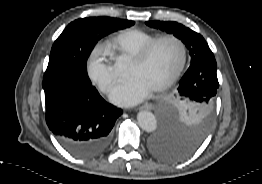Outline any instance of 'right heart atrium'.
I'll return each instance as SVG.
<instances>
[{
	"mask_svg": "<svg viewBox=\"0 0 262 184\" xmlns=\"http://www.w3.org/2000/svg\"><path fill=\"white\" fill-rule=\"evenodd\" d=\"M86 71L90 81L103 93H108L117 81L114 66L102 45H96L91 50Z\"/></svg>",
	"mask_w": 262,
	"mask_h": 184,
	"instance_id": "obj_1",
	"label": "right heart atrium"
}]
</instances>
